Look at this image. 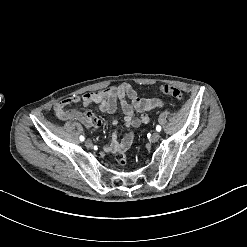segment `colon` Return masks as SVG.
I'll list each match as a JSON object with an SVG mask.
<instances>
[{"instance_id":"1","label":"colon","mask_w":247,"mask_h":247,"mask_svg":"<svg viewBox=\"0 0 247 247\" xmlns=\"http://www.w3.org/2000/svg\"><path fill=\"white\" fill-rule=\"evenodd\" d=\"M158 89L164 95L173 97L174 99H177V100L184 99V92L173 84H164V85L159 86Z\"/></svg>"}]
</instances>
